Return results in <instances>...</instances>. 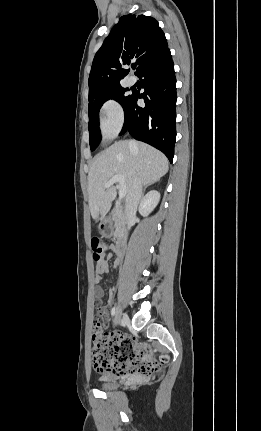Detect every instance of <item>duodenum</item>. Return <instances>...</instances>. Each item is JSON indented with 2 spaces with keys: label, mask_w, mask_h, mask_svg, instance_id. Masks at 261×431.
Masks as SVG:
<instances>
[{
  "label": "duodenum",
  "mask_w": 261,
  "mask_h": 431,
  "mask_svg": "<svg viewBox=\"0 0 261 431\" xmlns=\"http://www.w3.org/2000/svg\"><path fill=\"white\" fill-rule=\"evenodd\" d=\"M125 246H126V240L123 236H121L117 245L114 248L115 252L119 255V258L117 259V264H119V262H120V257L122 255V252H123Z\"/></svg>",
  "instance_id": "410a0bca"
}]
</instances>
